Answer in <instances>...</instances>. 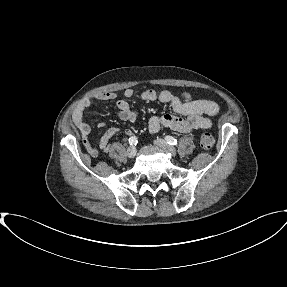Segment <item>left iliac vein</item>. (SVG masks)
Instances as JSON below:
<instances>
[{"instance_id":"4c4485c4","label":"left iliac vein","mask_w":287,"mask_h":287,"mask_svg":"<svg viewBox=\"0 0 287 287\" xmlns=\"http://www.w3.org/2000/svg\"><path fill=\"white\" fill-rule=\"evenodd\" d=\"M154 144L158 147L168 150L172 156L176 155V150L174 147L167 144V142L163 139H156L154 140Z\"/></svg>"}]
</instances>
